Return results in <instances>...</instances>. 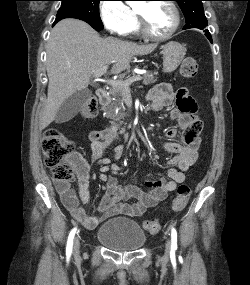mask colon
I'll list each match as a JSON object with an SVG mask.
<instances>
[{"instance_id":"1","label":"colon","mask_w":250,"mask_h":285,"mask_svg":"<svg viewBox=\"0 0 250 285\" xmlns=\"http://www.w3.org/2000/svg\"><path fill=\"white\" fill-rule=\"evenodd\" d=\"M180 74L184 78H193L198 72L197 61L192 57L183 59L180 65ZM194 114L197 106L188 104L187 106ZM97 112V104L93 99H89L81 109L84 118H93ZM74 144L58 130H48L43 139V155L45 164L51 169L53 179L58 182H70L74 179L73 167L71 163ZM191 196V188L188 185H180L177 195L172 202V209L175 212L183 210ZM144 229L156 234L160 231V224L156 220H145Z\"/></svg>"}]
</instances>
